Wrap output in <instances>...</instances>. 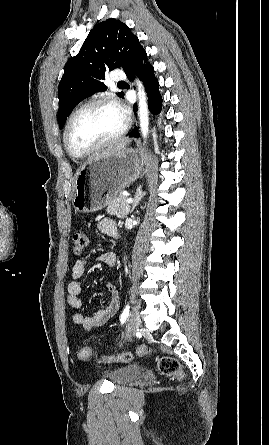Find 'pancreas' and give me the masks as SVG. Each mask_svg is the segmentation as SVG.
<instances>
[{
	"instance_id": "cf45deb5",
	"label": "pancreas",
	"mask_w": 269,
	"mask_h": 445,
	"mask_svg": "<svg viewBox=\"0 0 269 445\" xmlns=\"http://www.w3.org/2000/svg\"><path fill=\"white\" fill-rule=\"evenodd\" d=\"M127 197L123 194H118L108 203L107 212L118 218H125L130 212V206L126 202Z\"/></svg>"
}]
</instances>
